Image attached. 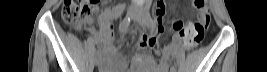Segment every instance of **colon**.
Returning a JSON list of instances; mask_svg holds the SVG:
<instances>
[{
  "mask_svg": "<svg viewBox=\"0 0 267 72\" xmlns=\"http://www.w3.org/2000/svg\"><path fill=\"white\" fill-rule=\"evenodd\" d=\"M197 11V22L183 25L182 22L173 24L174 30L183 38L187 48L197 46L204 38L209 25V10L206 0L191 1ZM100 0H65L62 8L64 21L74 29H81L91 18L98 13ZM110 27V23L106 24Z\"/></svg>",
  "mask_w": 267,
  "mask_h": 72,
  "instance_id": "5ec220e1",
  "label": "colon"
}]
</instances>
